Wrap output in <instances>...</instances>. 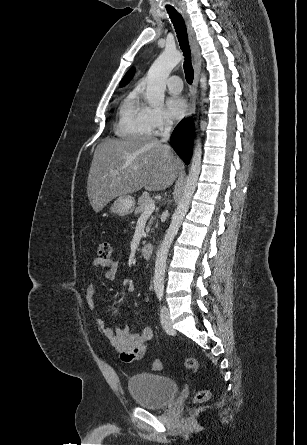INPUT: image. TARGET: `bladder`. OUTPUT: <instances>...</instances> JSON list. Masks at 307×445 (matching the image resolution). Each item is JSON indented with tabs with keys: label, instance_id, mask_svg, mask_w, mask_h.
Masks as SVG:
<instances>
[{
	"label": "bladder",
	"instance_id": "obj_1",
	"mask_svg": "<svg viewBox=\"0 0 307 445\" xmlns=\"http://www.w3.org/2000/svg\"><path fill=\"white\" fill-rule=\"evenodd\" d=\"M128 391L136 405L146 409H163L176 398L179 386L169 377L138 373L127 381Z\"/></svg>",
	"mask_w": 307,
	"mask_h": 445
}]
</instances>
